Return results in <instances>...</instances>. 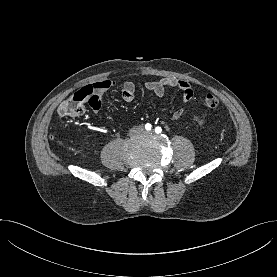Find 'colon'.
Masks as SVG:
<instances>
[{
	"label": "colon",
	"mask_w": 277,
	"mask_h": 277,
	"mask_svg": "<svg viewBox=\"0 0 277 277\" xmlns=\"http://www.w3.org/2000/svg\"><path fill=\"white\" fill-rule=\"evenodd\" d=\"M94 99L89 91L81 89L59 106L58 113L63 117L81 116L85 112L86 103L90 105ZM204 103L206 107L215 109L219 105V100L216 95L208 93L204 97Z\"/></svg>",
	"instance_id": "1"
}]
</instances>
